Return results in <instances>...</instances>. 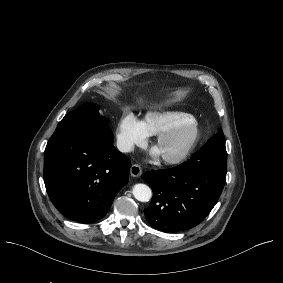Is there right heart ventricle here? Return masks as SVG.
<instances>
[{"label":"right heart ventricle","mask_w":283,"mask_h":283,"mask_svg":"<svg viewBox=\"0 0 283 283\" xmlns=\"http://www.w3.org/2000/svg\"><path fill=\"white\" fill-rule=\"evenodd\" d=\"M192 117L188 113L180 111H153L149 112L146 119L156 127L157 133L167 130L183 118Z\"/></svg>","instance_id":"right-heart-ventricle-1"}]
</instances>
